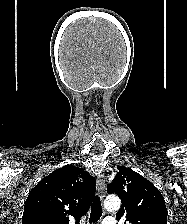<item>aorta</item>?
Masks as SVG:
<instances>
[{
  "mask_svg": "<svg viewBox=\"0 0 187 224\" xmlns=\"http://www.w3.org/2000/svg\"><path fill=\"white\" fill-rule=\"evenodd\" d=\"M121 206V200L117 196H108L104 202V207L109 212H115L119 210Z\"/></svg>",
  "mask_w": 187,
  "mask_h": 224,
  "instance_id": "762f6f07",
  "label": "aorta"
}]
</instances>
